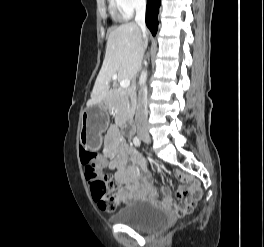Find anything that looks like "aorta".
I'll use <instances>...</instances> for the list:
<instances>
[{
  "label": "aorta",
  "mask_w": 264,
  "mask_h": 247,
  "mask_svg": "<svg viewBox=\"0 0 264 247\" xmlns=\"http://www.w3.org/2000/svg\"><path fill=\"white\" fill-rule=\"evenodd\" d=\"M146 80H147V71L146 70H143L141 72V75H140V78H139V85H140V87H143L145 85Z\"/></svg>",
  "instance_id": "1"
}]
</instances>
